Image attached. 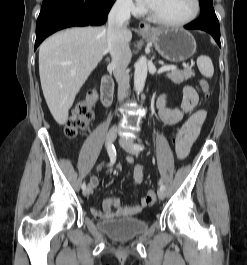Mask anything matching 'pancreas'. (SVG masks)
I'll return each mask as SVG.
<instances>
[{
    "mask_svg": "<svg viewBox=\"0 0 247 265\" xmlns=\"http://www.w3.org/2000/svg\"><path fill=\"white\" fill-rule=\"evenodd\" d=\"M193 76L195 73L189 66L185 67L184 70H168L167 72V77L176 84H180Z\"/></svg>",
    "mask_w": 247,
    "mask_h": 265,
    "instance_id": "1",
    "label": "pancreas"
}]
</instances>
